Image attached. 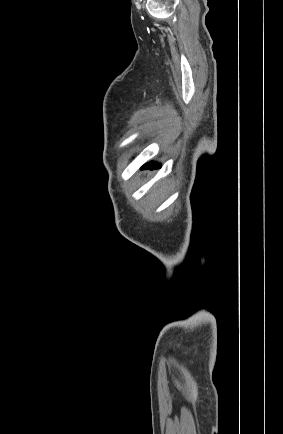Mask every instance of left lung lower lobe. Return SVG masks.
Returning <instances> with one entry per match:
<instances>
[{"mask_svg": "<svg viewBox=\"0 0 283 434\" xmlns=\"http://www.w3.org/2000/svg\"><path fill=\"white\" fill-rule=\"evenodd\" d=\"M157 168H160V165H158L155 162H150V163H147L144 166H142L141 169H157Z\"/></svg>", "mask_w": 283, "mask_h": 434, "instance_id": "1", "label": "left lung lower lobe"}]
</instances>
